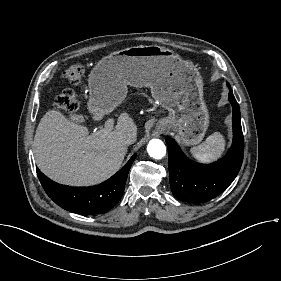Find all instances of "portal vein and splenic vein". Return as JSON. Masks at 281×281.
<instances>
[{"label":"portal vein and splenic vein","instance_id":"1","mask_svg":"<svg viewBox=\"0 0 281 281\" xmlns=\"http://www.w3.org/2000/svg\"><path fill=\"white\" fill-rule=\"evenodd\" d=\"M114 126V120L113 119H108L105 122V126L104 127H100L98 129V134L100 136H105L108 132H111Z\"/></svg>","mask_w":281,"mask_h":281}]
</instances>
